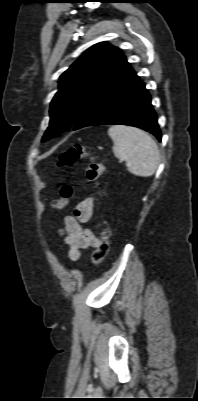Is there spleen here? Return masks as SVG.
I'll return each instance as SVG.
<instances>
[{"label":"spleen","mask_w":198,"mask_h":401,"mask_svg":"<svg viewBox=\"0 0 198 401\" xmlns=\"http://www.w3.org/2000/svg\"><path fill=\"white\" fill-rule=\"evenodd\" d=\"M113 153L126 161L127 170L140 177L152 176L160 162V152L152 137L141 129L113 125L108 130Z\"/></svg>","instance_id":"spleen-1"}]
</instances>
